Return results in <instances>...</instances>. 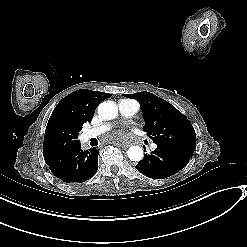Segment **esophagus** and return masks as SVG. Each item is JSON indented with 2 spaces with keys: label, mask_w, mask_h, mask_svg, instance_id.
Returning <instances> with one entry per match:
<instances>
[{
  "label": "esophagus",
  "mask_w": 247,
  "mask_h": 247,
  "mask_svg": "<svg viewBox=\"0 0 247 247\" xmlns=\"http://www.w3.org/2000/svg\"><path fill=\"white\" fill-rule=\"evenodd\" d=\"M121 146H122L123 148H128L130 145H128L127 143H124V144H121Z\"/></svg>",
  "instance_id": "34e87169"
}]
</instances>
